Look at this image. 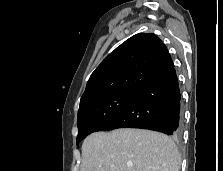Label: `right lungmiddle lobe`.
Listing matches in <instances>:
<instances>
[{
	"label": "right lung middle lobe",
	"instance_id": "1",
	"mask_svg": "<svg viewBox=\"0 0 223 171\" xmlns=\"http://www.w3.org/2000/svg\"><path fill=\"white\" fill-rule=\"evenodd\" d=\"M138 93L116 92L96 98L79 108L77 145L119 113Z\"/></svg>",
	"mask_w": 223,
	"mask_h": 171
}]
</instances>
